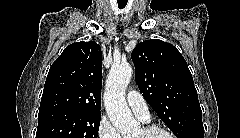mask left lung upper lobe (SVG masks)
Masks as SVG:
<instances>
[{
	"label": "left lung upper lobe",
	"mask_w": 240,
	"mask_h": 138,
	"mask_svg": "<svg viewBox=\"0 0 240 138\" xmlns=\"http://www.w3.org/2000/svg\"><path fill=\"white\" fill-rule=\"evenodd\" d=\"M140 92L177 138L204 132L197 91L188 65L170 43L150 39L131 54Z\"/></svg>",
	"instance_id": "5c2ea615"
}]
</instances>
